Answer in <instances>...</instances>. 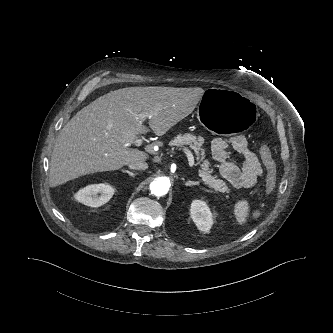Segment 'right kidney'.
<instances>
[{"label": "right kidney", "mask_w": 333, "mask_h": 333, "mask_svg": "<svg viewBox=\"0 0 333 333\" xmlns=\"http://www.w3.org/2000/svg\"><path fill=\"white\" fill-rule=\"evenodd\" d=\"M114 194V188L105 183L88 185L79 190L75 198L90 207H99L107 203Z\"/></svg>", "instance_id": "obj_1"}]
</instances>
